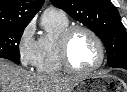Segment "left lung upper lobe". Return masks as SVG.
Wrapping results in <instances>:
<instances>
[{
	"mask_svg": "<svg viewBox=\"0 0 127 92\" xmlns=\"http://www.w3.org/2000/svg\"><path fill=\"white\" fill-rule=\"evenodd\" d=\"M71 17L94 31L107 51L109 66L127 61V33L110 0H50Z\"/></svg>",
	"mask_w": 127,
	"mask_h": 92,
	"instance_id": "5c2ea615",
	"label": "left lung upper lobe"
}]
</instances>
